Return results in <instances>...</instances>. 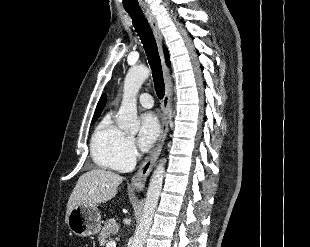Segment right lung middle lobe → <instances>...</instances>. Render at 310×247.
<instances>
[{
    "label": "right lung middle lobe",
    "mask_w": 310,
    "mask_h": 247,
    "mask_svg": "<svg viewBox=\"0 0 310 247\" xmlns=\"http://www.w3.org/2000/svg\"><path fill=\"white\" fill-rule=\"evenodd\" d=\"M99 116L93 117L92 124L97 120Z\"/></svg>",
    "instance_id": "dd1d6c3e"
}]
</instances>
